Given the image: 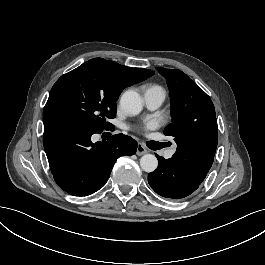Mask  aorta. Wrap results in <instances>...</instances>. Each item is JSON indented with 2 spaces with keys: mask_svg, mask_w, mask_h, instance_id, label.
I'll return each instance as SVG.
<instances>
[{
  "mask_svg": "<svg viewBox=\"0 0 265 265\" xmlns=\"http://www.w3.org/2000/svg\"><path fill=\"white\" fill-rule=\"evenodd\" d=\"M120 106L130 115H137L142 111L143 101L140 94L135 90H127L120 99ZM143 171L151 173L158 167V160L152 154H145L140 159Z\"/></svg>",
  "mask_w": 265,
  "mask_h": 265,
  "instance_id": "obj_1",
  "label": "aorta"
}]
</instances>
